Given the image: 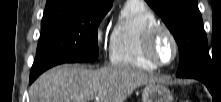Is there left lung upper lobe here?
Returning <instances> with one entry per match:
<instances>
[{
  "instance_id": "1",
  "label": "left lung upper lobe",
  "mask_w": 221,
  "mask_h": 102,
  "mask_svg": "<svg viewBox=\"0 0 221 102\" xmlns=\"http://www.w3.org/2000/svg\"><path fill=\"white\" fill-rule=\"evenodd\" d=\"M173 34L180 52L177 77L211 79L212 63L197 0H146Z\"/></svg>"
}]
</instances>
